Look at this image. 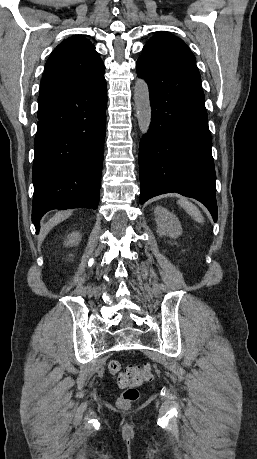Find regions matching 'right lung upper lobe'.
<instances>
[{
	"label": "right lung upper lobe",
	"instance_id": "right-lung-upper-lobe-1",
	"mask_svg": "<svg viewBox=\"0 0 257 459\" xmlns=\"http://www.w3.org/2000/svg\"><path fill=\"white\" fill-rule=\"evenodd\" d=\"M105 66L94 45L82 36L60 43L48 58L40 95L79 87L104 75Z\"/></svg>",
	"mask_w": 257,
	"mask_h": 459
}]
</instances>
